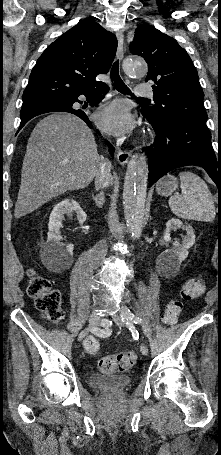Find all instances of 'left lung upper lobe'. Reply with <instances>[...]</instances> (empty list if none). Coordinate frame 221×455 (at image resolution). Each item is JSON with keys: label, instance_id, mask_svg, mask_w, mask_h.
<instances>
[{"label": "left lung upper lobe", "instance_id": "obj_1", "mask_svg": "<svg viewBox=\"0 0 221 455\" xmlns=\"http://www.w3.org/2000/svg\"><path fill=\"white\" fill-rule=\"evenodd\" d=\"M132 54L148 63L147 81H152L153 106H142L141 112L161 122L186 119L205 123L204 93L196 68L187 52L172 37L154 27L136 29L130 44Z\"/></svg>", "mask_w": 221, "mask_h": 455}]
</instances>
